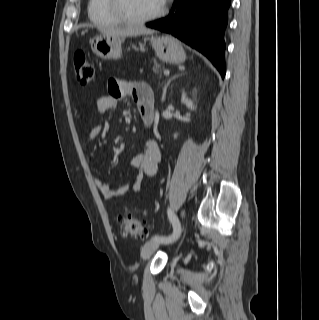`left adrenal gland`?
Segmentation results:
<instances>
[{"mask_svg":"<svg viewBox=\"0 0 319 320\" xmlns=\"http://www.w3.org/2000/svg\"><path fill=\"white\" fill-rule=\"evenodd\" d=\"M176 77H178V75H174L173 77H171L167 83L164 85V88H163V94H162V101L165 100V97H166V92H167V87L169 86V84L171 83V81L173 79H175Z\"/></svg>","mask_w":319,"mask_h":320,"instance_id":"1","label":"left adrenal gland"}]
</instances>
